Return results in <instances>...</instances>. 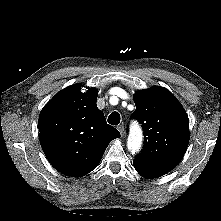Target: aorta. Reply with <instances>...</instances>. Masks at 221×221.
I'll return each mask as SVG.
<instances>
[{
    "label": "aorta",
    "instance_id": "762f6f07",
    "mask_svg": "<svg viewBox=\"0 0 221 221\" xmlns=\"http://www.w3.org/2000/svg\"><path fill=\"white\" fill-rule=\"evenodd\" d=\"M142 144V131L138 126H133L127 142L128 149L134 154L138 152Z\"/></svg>",
    "mask_w": 221,
    "mask_h": 221
}]
</instances>
